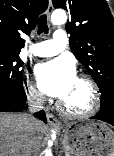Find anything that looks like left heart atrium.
<instances>
[{
  "mask_svg": "<svg viewBox=\"0 0 114 156\" xmlns=\"http://www.w3.org/2000/svg\"><path fill=\"white\" fill-rule=\"evenodd\" d=\"M35 75L39 88L60 100L69 93L77 78L74 64L67 57L38 64L35 67Z\"/></svg>",
  "mask_w": 114,
  "mask_h": 156,
  "instance_id": "39dd6f15",
  "label": "left heart atrium"
}]
</instances>
